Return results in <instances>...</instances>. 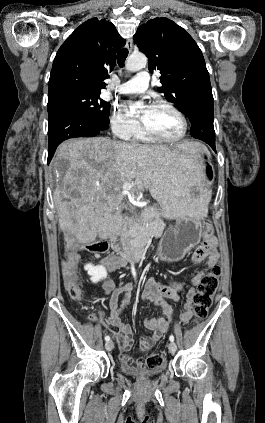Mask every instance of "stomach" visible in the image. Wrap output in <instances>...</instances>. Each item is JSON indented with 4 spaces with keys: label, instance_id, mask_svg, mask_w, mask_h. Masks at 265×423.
Listing matches in <instances>:
<instances>
[{
    "label": "stomach",
    "instance_id": "0dacf381",
    "mask_svg": "<svg viewBox=\"0 0 265 423\" xmlns=\"http://www.w3.org/2000/svg\"><path fill=\"white\" fill-rule=\"evenodd\" d=\"M191 147L187 151H182L187 163L197 166L202 174L199 183L193 184L189 188V195L192 198V191L201 194L207 189L213 174L211 155L208 149L198 142H184ZM193 202L196 201L192 198ZM201 238V222L199 216L184 214L176 218L174 226L168 228L163 234L156 256L165 262H175L181 260L191 248L197 245Z\"/></svg>",
    "mask_w": 265,
    "mask_h": 423
}]
</instances>
